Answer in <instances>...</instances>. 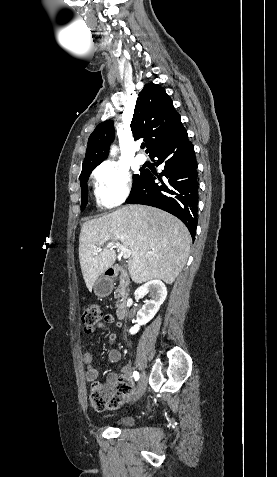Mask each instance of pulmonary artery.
<instances>
[{"instance_id": "pulmonary-artery-1", "label": "pulmonary artery", "mask_w": 277, "mask_h": 477, "mask_svg": "<svg viewBox=\"0 0 277 477\" xmlns=\"http://www.w3.org/2000/svg\"><path fill=\"white\" fill-rule=\"evenodd\" d=\"M136 161H137L139 164H143V163L146 162V157H145L143 154L139 153V154H137V156H136Z\"/></svg>"}]
</instances>
